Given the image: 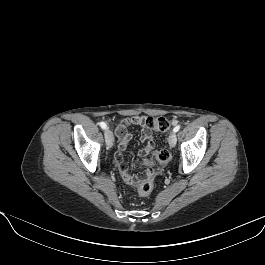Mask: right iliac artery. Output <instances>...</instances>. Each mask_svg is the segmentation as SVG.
<instances>
[{
    "label": "right iliac artery",
    "mask_w": 265,
    "mask_h": 265,
    "mask_svg": "<svg viewBox=\"0 0 265 265\" xmlns=\"http://www.w3.org/2000/svg\"><path fill=\"white\" fill-rule=\"evenodd\" d=\"M100 127L102 129H106L107 125L105 124V122H100Z\"/></svg>",
    "instance_id": "1"
}]
</instances>
